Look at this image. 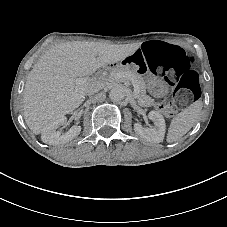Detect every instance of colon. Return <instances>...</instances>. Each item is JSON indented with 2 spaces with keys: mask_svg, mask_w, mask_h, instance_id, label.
Returning <instances> with one entry per match:
<instances>
[{
  "mask_svg": "<svg viewBox=\"0 0 227 227\" xmlns=\"http://www.w3.org/2000/svg\"><path fill=\"white\" fill-rule=\"evenodd\" d=\"M147 69L161 76L174 87L171 100L164 99L160 104L161 111L172 116L178 107L197 100L200 96L198 74L192 69L193 57L179 46L150 41L142 45ZM135 62L138 65L137 57Z\"/></svg>",
  "mask_w": 227,
  "mask_h": 227,
  "instance_id": "5ec220e1",
  "label": "colon"
}]
</instances>
